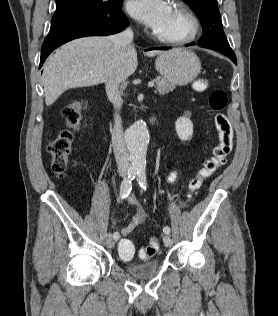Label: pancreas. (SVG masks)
Wrapping results in <instances>:
<instances>
[{
    "instance_id": "pancreas-1",
    "label": "pancreas",
    "mask_w": 278,
    "mask_h": 316,
    "mask_svg": "<svg viewBox=\"0 0 278 316\" xmlns=\"http://www.w3.org/2000/svg\"><path fill=\"white\" fill-rule=\"evenodd\" d=\"M154 82L156 83V92L160 95H165L175 88L174 84L167 82L164 78L157 77Z\"/></svg>"
}]
</instances>
